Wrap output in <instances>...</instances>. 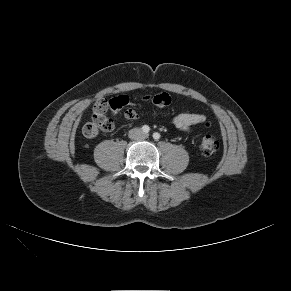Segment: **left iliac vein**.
Returning a JSON list of instances; mask_svg holds the SVG:
<instances>
[{"label": "left iliac vein", "instance_id": "4c4485c4", "mask_svg": "<svg viewBox=\"0 0 291 291\" xmlns=\"http://www.w3.org/2000/svg\"><path fill=\"white\" fill-rule=\"evenodd\" d=\"M149 134H143L142 137L143 138H148Z\"/></svg>", "mask_w": 291, "mask_h": 291}]
</instances>
